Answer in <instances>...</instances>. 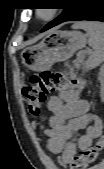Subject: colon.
Listing matches in <instances>:
<instances>
[{
    "mask_svg": "<svg viewBox=\"0 0 104 169\" xmlns=\"http://www.w3.org/2000/svg\"><path fill=\"white\" fill-rule=\"evenodd\" d=\"M30 84L23 88L28 111L32 116L41 113L46 96L53 91H63L68 89H81L83 81L70 77L62 72L43 70L32 74L29 78ZM102 142L98 141L94 146L81 150L70 162L69 169H86L94 162L101 150Z\"/></svg>",
    "mask_w": 104,
    "mask_h": 169,
    "instance_id": "obj_1",
    "label": "colon"
}]
</instances>
